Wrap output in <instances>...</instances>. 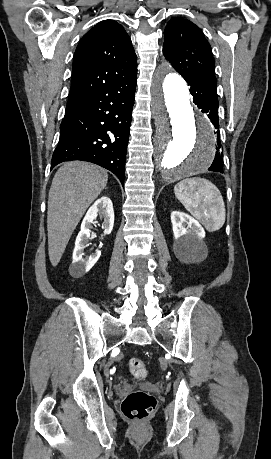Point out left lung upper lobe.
I'll use <instances>...</instances> for the list:
<instances>
[{"instance_id": "5c2ea615", "label": "left lung upper lobe", "mask_w": 271, "mask_h": 459, "mask_svg": "<svg viewBox=\"0 0 271 459\" xmlns=\"http://www.w3.org/2000/svg\"><path fill=\"white\" fill-rule=\"evenodd\" d=\"M164 38L163 53L179 74L189 79L216 80L211 46L198 26L184 18H172Z\"/></svg>"}]
</instances>
